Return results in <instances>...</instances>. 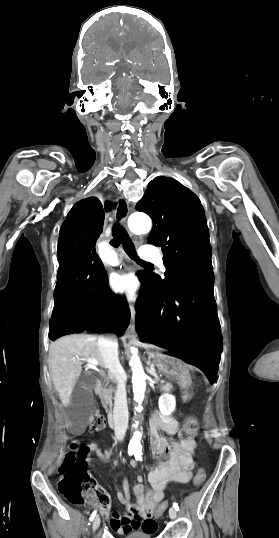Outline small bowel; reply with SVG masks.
I'll use <instances>...</instances> for the list:
<instances>
[{"label": "small bowel", "mask_w": 279, "mask_h": 538, "mask_svg": "<svg viewBox=\"0 0 279 538\" xmlns=\"http://www.w3.org/2000/svg\"><path fill=\"white\" fill-rule=\"evenodd\" d=\"M178 429L175 421L165 422L158 415L151 424L150 443L153 454L158 458L157 463L149 473V486L143 484V477L138 476V484L133 492L137 500L139 512L120 516L114 513L111 516L110 526L118 534H124L132 529H141L144 532L153 533L156 530V522L152 518V511L162 501L165 491L172 483H188L192 477L191 450L195 445L193 440L178 442L172 438ZM161 430L167 437L159 435ZM86 447L95 452L103 462H108L111 457L110 450H101L96 442H90ZM89 460V459H88ZM130 466L135 468L137 461L133 459ZM123 491L117 493L118 500L126 507L131 508L130 486L127 479H123Z\"/></svg>", "instance_id": "c3829d8e"}]
</instances>
